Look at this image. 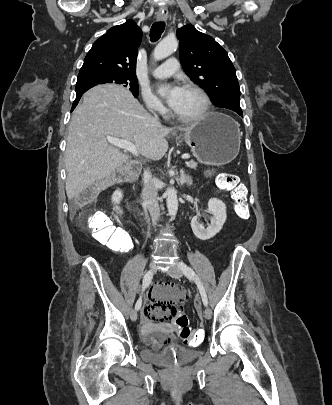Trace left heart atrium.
Masks as SVG:
<instances>
[{
    "instance_id": "1",
    "label": "left heart atrium",
    "mask_w": 332,
    "mask_h": 405,
    "mask_svg": "<svg viewBox=\"0 0 332 405\" xmlns=\"http://www.w3.org/2000/svg\"><path fill=\"white\" fill-rule=\"evenodd\" d=\"M159 92L166 97L169 106L175 109L181 98L183 88L177 84L172 86L162 85L159 87Z\"/></svg>"
}]
</instances>
